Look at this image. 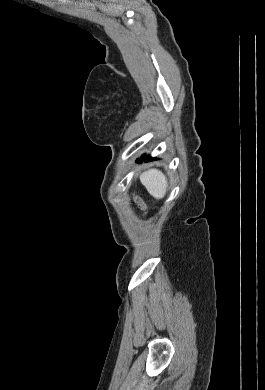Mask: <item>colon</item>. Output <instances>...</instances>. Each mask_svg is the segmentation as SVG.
Instances as JSON below:
<instances>
[{
	"label": "colon",
	"mask_w": 265,
	"mask_h": 390,
	"mask_svg": "<svg viewBox=\"0 0 265 390\" xmlns=\"http://www.w3.org/2000/svg\"><path fill=\"white\" fill-rule=\"evenodd\" d=\"M136 202H137V204L140 206V207H144V203H143V201L141 200V199H139V198H136Z\"/></svg>",
	"instance_id": "5ec220e1"
}]
</instances>
